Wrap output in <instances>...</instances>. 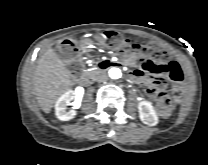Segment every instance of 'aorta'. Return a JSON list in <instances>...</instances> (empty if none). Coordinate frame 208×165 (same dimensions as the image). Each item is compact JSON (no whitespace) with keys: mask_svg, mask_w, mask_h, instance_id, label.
Listing matches in <instances>:
<instances>
[{"mask_svg":"<svg viewBox=\"0 0 208 165\" xmlns=\"http://www.w3.org/2000/svg\"><path fill=\"white\" fill-rule=\"evenodd\" d=\"M108 74L111 79H119L122 76L121 70L117 67H112L109 69Z\"/></svg>","mask_w":208,"mask_h":165,"instance_id":"obj_1","label":"aorta"}]
</instances>
